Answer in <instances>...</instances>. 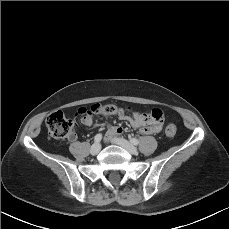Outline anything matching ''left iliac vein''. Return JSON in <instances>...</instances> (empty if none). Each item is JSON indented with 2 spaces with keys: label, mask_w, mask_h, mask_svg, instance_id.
<instances>
[{
  "label": "left iliac vein",
  "mask_w": 229,
  "mask_h": 229,
  "mask_svg": "<svg viewBox=\"0 0 229 229\" xmlns=\"http://www.w3.org/2000/svg\"><path fill=\"white\" fill-rule=\"evenodd\" d=\"M113 143L121 146L122 148L127 150L130 154H133V155L138 154V149L134 145H132L130 142H128L127 140L123 138H114Z\"/></svg>",
  "instance_id": "obj_1"
}]
</instances>
